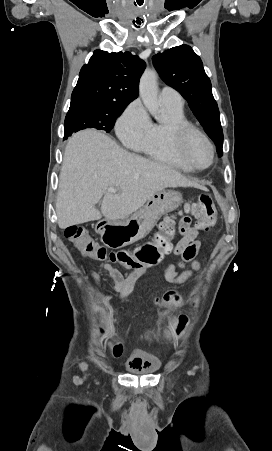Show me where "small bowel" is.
<instances>
[{
    "instance_id": "obj_1",
    "label": "small bowel",
    "mask_w": 272,
    "mask_h": 451,
    "mask_svg": "<svg viewBox=\"0 0 272 451\" xmlns=\"http://www.w3.org/2000/svg\"><path fill=\"white\" fill-rule=\"evenodd\" d=\"M178 231L181 238L173 247L172 253L178 258L177 264L179 266L185 267L189 264L190 268L178 274L175 272L173 265H166L164 268L166 277L173 283H182L193 277L194 273L200 269V262L197 260V256L203 250L202 243L198 240V229L191 225V218L189 216L182 217ZM99 266L113 279L115 296L119 302H122L132 291L140 275L148 268L144 267L139 270H134L129 276L124 277L120 270L112 266L109 262L101 261ZM89 273L94 281L95 287L99 289L101 284L99 274L94 271H90ZM167 300L173 305H177L179 302L177 296L173 293L168 295ZM132 338L140 339V336L133 335ZM121 353L122 345L117 343L113 347L112 354L114 357H119Z\"/></svg>"
}]
</instances>
